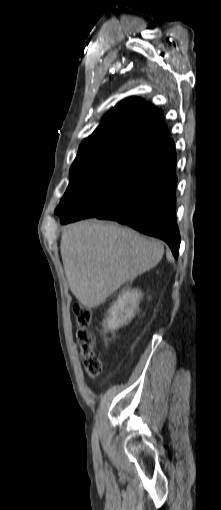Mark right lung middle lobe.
<instances>
[{
  "label": "right lung middle lobe",
  "instance_id": "right-lung-middle-lobe-1",
  "mask_svg": "<svg viewBox=\"0 0 221 510\" xmlns=\"http://www.w3.org/2000/svg\"><path fill=\"white\" fill-rule=\"evenodd\" d=\"M151 154L125 148L75 159L69 185L55 213L59 217L70 215L80 204L90 212L113 207Z\"/></svg>",
  "mask_w": 221,
  "mask_h": 510
}]
</instances>
